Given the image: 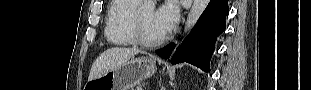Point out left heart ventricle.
<instances>
[{"mask_svg":"<svg viewBox=\"0 0 311 90\" xmlns=\"http://www.w3.org/2000/svg\"><path fill=\"white\" fill-rule=\"evenodd\" d=\"M154 14L153 9H143L140 11L144 35L150 40L158 39L164 35L154 22Z\"/></svg>","mask_w":311,"mask_h":90,"instance_id":"1","label":"left heart ventricle"}]
</instances>
